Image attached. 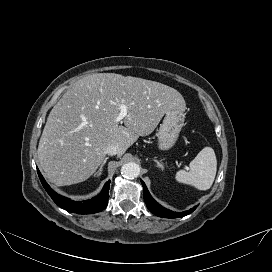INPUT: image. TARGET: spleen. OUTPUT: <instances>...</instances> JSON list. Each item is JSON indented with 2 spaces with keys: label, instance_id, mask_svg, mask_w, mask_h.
<instances>
[{
  "label": "spleen",
  "instance_id": "3e777b00",
  "mask_svg": "<svg viewBox=\"0 0 272 272\" xmlns=\"http://www.w3.org/2000/svg\"><path fill=\"white\" fill-rule=\"evenodd\" d=\"M217 160L211 147L203 148L190 162V170H179L175 179L179 183L192 185L198 190H208L215 179Z\"/></svg>",
  "mask_w": 272,
  "mask_h": 272
}]
</instances>
